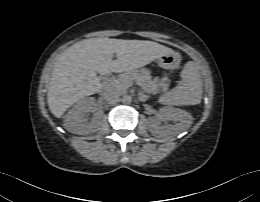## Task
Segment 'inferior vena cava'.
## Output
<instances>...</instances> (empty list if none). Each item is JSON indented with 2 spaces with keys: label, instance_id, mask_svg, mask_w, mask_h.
I'll return each instance as SVG.
<instances>
[{
  "label": "inferior vena cava",
  "instance_id": "602c4592",
  "mask_svg": "<svg viewBox=\"0 0 260 202\" xmlns=\"http://www.w3.org/2000/svg\"><path fill=\"white\" fill-rule=\"evenodd\" d=\"M104 99L109 104H115L119 101V93L115 91H108L104 94Z\"/></svg>",
  "mask_w": 260,
  "mask_h": 202
}]
</instances>
